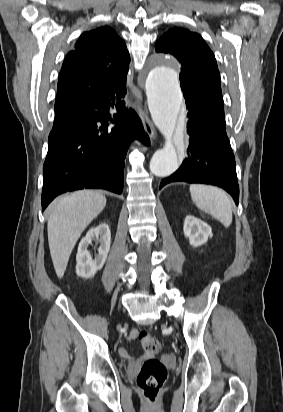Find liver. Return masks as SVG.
<instances>
[{
	"mask_svg": "<svg viewBox=\"0 0 283 412\" xmlns=\"http://www.w3.org/2000/svg\"><path fill=\"white\" fill-rule=\"evenodd\" d=\"M105 206V196L92 190L74 192L49 206L48 243L58 278L63 277L71 252L82 232Z\"/></svg>",
	"mask_w": 283,
	"mask_h": 412,
	"instance_id": "6515ba94",
	"label": "liver"
}]
</instances>
